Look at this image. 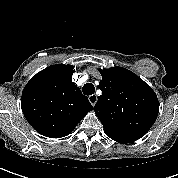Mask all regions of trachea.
<instances>
[{"mask_svg":"<svg viewBox=\"0 0 178 178\" xmlns=\"http://www.w3.org/2000/svg\"><path fill=\"white\" fill-rule=\"evenodd\" d=\"M82 91L85 95H92L95 92V87L92 83H86L83 86Z\"/></svg>","mask_w":178,"mask_h":178,"instance_id":"1","label":"trachea"}]
</instances>
